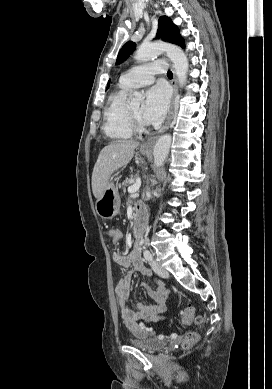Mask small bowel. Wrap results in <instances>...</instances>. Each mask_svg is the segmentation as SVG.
<instances>
[{"label":"small bowel","instance_id":"c3829d8e","mask_svg":"<svg viewBox=\"0 0 272 389\" xmlns=\"http://www.w3.org/2000/svg\"><path fill=\"white\" fill-rule=\"evenodd\" d=\"M113 260L123 267L132 266L134 271L139 272L145 277L152 276V272L143 264L140 249L137 245L128 255L114 254ZM130 284L131 276L127 275L121 278L115 286L120 316L129 333L138 338H145L153 333V329L148 325V322H157L161 320V314L166 309L168 290L160 280H156V287L154 288L147 284H143L154 303L145 304L143 302H138L135 304L134 308L131 309L127 306V300L130 295Z\"/></svg>","mask_w":272,"mask_h":389}]
</instances>
